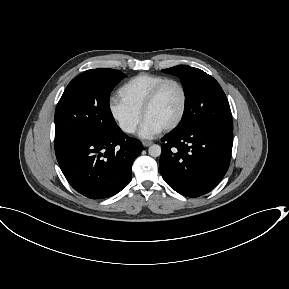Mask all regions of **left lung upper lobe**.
<instances>
[{
  "mask_svg": "<svg viewBox=\"0 0 289 289\" xmlns=\"http://www.w3.org/2000/svg\"><path fill=\"white\" fill-rule=\"evenodd\" d=\"M163 72L180 78L185 92V109L177 130L205 125L233 131L228 100L219 83L204 71L178 65Z\"/></svg>",
  "mask_w": 289,
  "mask_h": 289,
  "instance_id": "5c2ea615",
  "label": "left lung upper lobe"
}]
</instances>
